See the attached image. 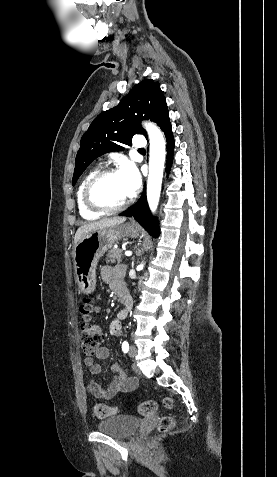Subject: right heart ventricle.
<instances>
[{
  "label": "right heart ventricle",
  "mask_w": 277,
  "mask_h": 477,
  "mask_svg": "<svg viewBox=\"0 0 277 477\" xmlns=\"http://www.w3.org/2000/svg\"><path fill=\"white\" fill-rule=\"evenodd\" d=\"M99 171V168H95L93 170H91L82 180V182L80 183L79 187H78V191H77V204H78V209H79V213L81 215L82 218L86 219V220H95V219H98L102 214L101 213H96V212H93L91 210H89L85 205H84V202H83V189L86 185V183L88 182V180L95 174Z\"/></svg>",
  "instance_id": "1"
}]
</instances>
